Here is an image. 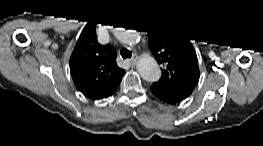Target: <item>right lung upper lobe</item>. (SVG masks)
I'll return each instance as SVG.
<instances>
[{"mask_svg":"<svg viewBox=\"0 0 263 146\" xmlns=\"http://www.w3.org/2000/svg\"><path fill=\"white\" fill-rule=\"evenodd\" d=\"M95 29L92 24L85 26L70 57L76 88L92 100L111 96L125 73L117 66L116 50L111 45H100Z\"/></svg>","mask_w":263,"mask_h":146,"instance_id":"cb5924a9","label":"right lung upper lobe"}]
</instances>
